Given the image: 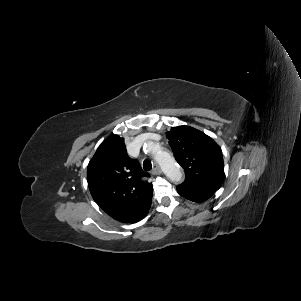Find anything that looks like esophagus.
Listing matches in <instances>:
<instances>
[{"instance_id": "1", "label": "esophagus", "mask_w": 301, "mask_h": 301, "mask_svg": "<svg viewBox=\"0 0 301 301\" xmlns=\"http://www.w3.org/2000/svg\"><path fill=\"white\" fill-rule=\"evenodd\" d=\"M152 173L157 175L161 173V168L157 163H154Z\"/></svg>"}]
</instances>
